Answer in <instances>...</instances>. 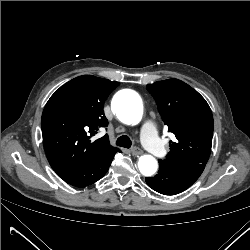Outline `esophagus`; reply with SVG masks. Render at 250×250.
<instances>
[{"instance_id":"esophagus-1","label":"esophagus","mask_w":250,"mask_h":250,"mask_svg":"<svg viewBox=\"0 0 250 250\" xmlns=\"http://www.w3.org/2000/svg\"><path fill=\"white\" fill-rule=\"evenodd\" d=\"M131 153H132V155L138 157V156H140L143 152H142V150H141L140 148L134 147V148L131 150Z\"/></svg>"}]
</instances>
